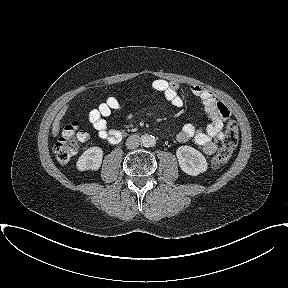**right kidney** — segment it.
Here are the masks:
<instances>
[{"instance_id":"obj_1","label":"right kidney","mask_w":288,"mask_h":288,"mask_svg":"<svg viewBox=\"0 0 288 288\" xmlns=\"http://www.w3.org/2000/svg\"><path fill=\"white\" fill-rule=\"evenodd\" d=\"M103 158V151L100 147L94 146L87 149L78 159L77 168L80 171L97 170L100 168Z\"/></svg>"}]
</instances>
